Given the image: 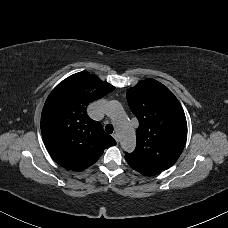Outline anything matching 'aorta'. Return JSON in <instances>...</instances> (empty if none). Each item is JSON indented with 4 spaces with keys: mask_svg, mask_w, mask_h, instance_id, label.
Returning <instances> with one entry per match:
<instances>
[{
    "mask_svg": "<svg viewBox=\"0 0 228 228\" xmlns=\"http://www.w3.org/2000/svg\"><path fill=\"white\" fill-rule=\"evenodd\" d=\"M106 114L112 118L117 128L123 150L127 152L133 151L136 144L135 131L130 125L121 104L116 100L107 102Z\"/></svg>",
    "mask_w": 228,
    "mask_h": 228,
    "instance_id": "obj_1",
    "label": "aorta"
}]
</instances>
